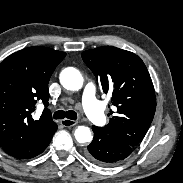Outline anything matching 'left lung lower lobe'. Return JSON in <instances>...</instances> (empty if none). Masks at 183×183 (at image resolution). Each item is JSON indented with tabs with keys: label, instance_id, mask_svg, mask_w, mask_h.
<instances>
[{
	"label": "left lung lower lobe",
	"instance_id": "0a47b994",
	"mask_svg": "<svg viewBox=\"0 0 183 183\" xmlns=\"http://www.w3.org/2000/svg\"><path fill=\"white\" fill-rule=\"evenodd\" d=\"M94 139L88 146L86 156L99 164H112L128 157L133 146L107 134L101 127L92 126Z\"/></svg>",
	"mask_w": 183,
	"mask_h": 183
}]
</instances>
